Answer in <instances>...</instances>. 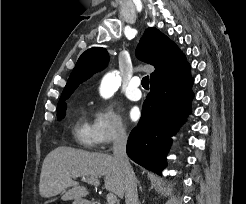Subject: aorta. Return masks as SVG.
Masks as SVG:
<instances>
[{
  "label": "aorta",
  "mask_w": 246,
  "mask_h": 204,
  "mask_svg": "<svg viewBox=\"0 0 246 204\" xmlns=\"http://www.w3.org/2000/svg\"><path fill=\"white\" fill-rule=\"evenodd\" d=\"M120 84L118 73L112 72L106 74L101 82L100 93L104 98H109L113 95Z\"/></svg>",
  "instance_id": "762f6f07"
}]
</instances>
